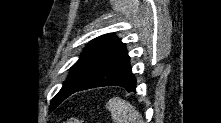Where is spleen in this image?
<instances>
[{"mask_svg": "<svg viewBox=\"0 0 221 123\" xmlns=\"http://www.w3.org/2000/svg\"><path fill=\"white\" fill-rule=\"evenodd\" d=\"M106 108L111 112L114 123H143L136 108L121 98H112Z\"/></svg>", "mask_w": 221, "mask_h": 123, "instance_id": "obj_1", "label": "spleen"}]
</instances>
